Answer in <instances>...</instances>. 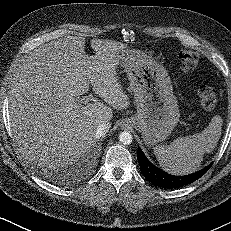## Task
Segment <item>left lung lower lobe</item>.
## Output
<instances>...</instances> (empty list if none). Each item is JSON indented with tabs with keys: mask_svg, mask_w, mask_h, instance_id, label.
<instances>
[{
	"mask_svg": "<svg viewBox=\"0 0 231 231\" xmlns=\"http://www.w3.org/2000/svg\"><path fill=\"white\" fill-rule=\"evenodd\" d=\"M137 159L143 176L151 183L158 187L166 189H176L190 184L202 177L211 167L212 163L202 170L186 176L170 175L154 166L145 156L143 151L138 147Z\"/></svg>",
	"mask_w": 231,
	"mask_h": 231,
	"instance_id": "1",
	"label": "left lung lower lobe"
}]
</instances>
